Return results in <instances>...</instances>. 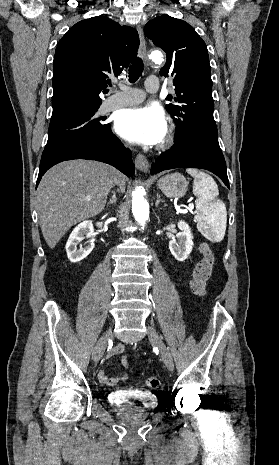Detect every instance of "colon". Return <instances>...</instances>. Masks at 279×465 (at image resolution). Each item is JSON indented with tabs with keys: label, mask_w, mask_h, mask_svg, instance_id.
I'll list each match as a JSON object with an SVG mask.
<instances>
[{
	"label": "colon",
	"mask_w": 279,
	"mask_h": 465,
	"mask_svg": "<svg viewBox=\"0 0 279 465\" xmlns=\"http://www.w3.org/2000/svg\"><path fill=\"white\" fill-rule=\"evenodd\" d=\"M200 253L202 258L194 269L191 289L196 295H205L207 281L211 276L215 258L208 244H202L200 246ZM125 376L127 378V375ZM146 384L150 388H157L160 386V380L156 377H149L146 380Z\"/></svg>",
	"instance_id": "colon-1"
}]
</instances>
